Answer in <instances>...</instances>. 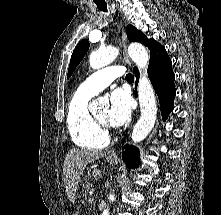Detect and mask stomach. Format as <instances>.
Segmentation results:
<instances>
[{
  "label": "stomach",
  "mask_w": 221,
  "mask_h": 215,
  "mask_svg": "<svg viewBox=\"0 0 221 215\" xmlns=\"http://www.w3.org/2000/svg\"><path fill=\"white\" fill-rule=\"evenodd\" d=\"M106 160H107L108 164H110V165H115V164H117V162H118V161H117V158L107 157ZM92 176H93L94 178H99V177L101 176V171L98 170V169H96V168H92ZM73 215H79V213L76 212V213H74Z\"/></svg>",
  "instance_id": "1"
}]
</instances>
